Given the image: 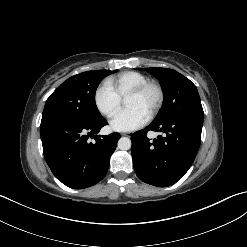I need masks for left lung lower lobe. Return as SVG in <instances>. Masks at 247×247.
Instances as JSON below:
<instances>
[{"label": "left lung lower lobe", "mask_w": 247, "mask_h": 247, "mask_svg": "<svg viewBox=\"0 0 247 247\" xmlns=\"http://www.w3.org/2000/svg\"><path fill=\"white\" fill-rule=\"evenodd\" d=\"M203 117L177 115L163 123H151L132 137L134 170L145 183L167 187L180 180L191 167L201 142ZM165 133L151 141L148 131Z\"/></svg>", "instance_id": "0a47b994"}]
</instances>
